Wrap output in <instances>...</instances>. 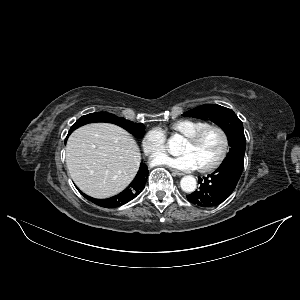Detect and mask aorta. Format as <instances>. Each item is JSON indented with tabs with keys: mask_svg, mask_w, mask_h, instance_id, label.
<instances>
[{
	"mask_svg": "<svg viewBox=\"0 0 300 300\" xmlns=\"http://www.w3.org/2000/svg\"><path fill=\"white\" fill-rule=\"evenodd\" d=\"M169 147L171 150H178L180 148V137L175 135L169 139ZM181 189L186 193H192L197 187L196 179L193 176H184L180 181Z\"/></svg>",
	"mask_w": 300,
	"mask_h": 300,
	"instance_id": "aorta-1",
	"label": "aorta"
}]
</instances>
